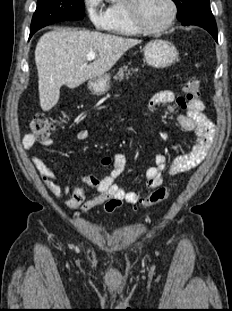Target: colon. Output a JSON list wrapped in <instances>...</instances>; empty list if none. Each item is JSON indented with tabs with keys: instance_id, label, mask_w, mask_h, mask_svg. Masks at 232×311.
Segmentation results:
<instances>
[{
	"instance_id": "1",
	"label": "colon",
	"mask_w": 232,
	"mask_h": 311,
	"mask_svg": "<svg viewBox=\"0 0 232 311\" xmlns=\"http://www.w3.org/2000/svg\"><path fill=\"white\" fill-rule=\"evenodd\" d=\"M186 99L196 101L200 98L199 80L195 76H190L186 80L184 87ZM57 120L46 117L45 115H35L29 122V131L39 138H46L56 127ZM171 190L169 187H160L153 191L148 197L138 203L143 209L151 208L168 199Z\"/></svg>"
}]
</instances>
